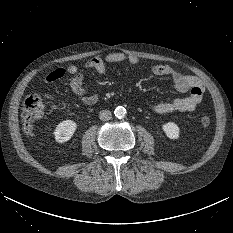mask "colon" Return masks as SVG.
I'll use <instances>...</instances> for the list:
<instances>
[{"mask_svg":"<svg viewBox=\"0 0 233 233\" xmlns=\"http://www.w3.org/2000/svg\"><path fill=\"white\" fill-rule=\"evenodd\" d=\"M44 104L40 95L31 94L26 97L22 108V125L27 134H32L35 123L43 116ZM201 124L207 127L211 124V119L207 116L201 118Z\"/></svg>","mask_w":233,"mask_h":233,"instance_id":"obj_1","label":"colon"}]
</instances>
